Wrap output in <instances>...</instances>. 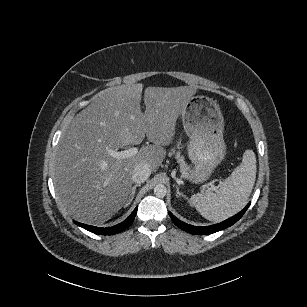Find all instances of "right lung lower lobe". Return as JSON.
<instances>
[{
	"mask_svg": "<svg viewBox=\"0 0 307 307\" xmlns=\"http://www.w3.org/2000/svg\"><path fill=\"white\" fill-rule=\"evenodd\" d=\"M137 213V208L134 209V211L131 213V215L122 223L115 225L113 227H108V228H99V227H94V226H90V225H85V224H81L79 222H75V224L83 227L84 229L93 232L95 234H100V235H113V234H117L120 233L122 231H124L125 229H127L133 222L135 216Z\"/></svg>",
	"mask_w": 307,
	"mask_h": 307,
	"instance_id": "98d812e1",
	"label": "right lung lower lobe"
}]
</instances>
